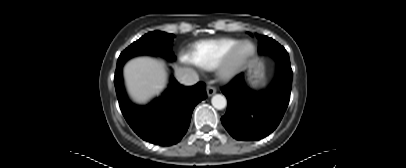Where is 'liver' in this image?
Listing matches in <instances>:
<instances>
[{
    "label": "liver",
    "mask_w": 406,
    "mask_h": 168,
    "mask_svg": "<svg viewBox=\"0 0 406 168\" xmlns=\"http://www.w3.org/2000/svg\"><path fill=\"white\" fill-rule=\"evenodd\" d=\"M181 68L176 67V73ZM126 86L131 98L137 103H146L164 89L167 81L163 61L150 57H138L124 68Z\"/></svg>",
    "instance_id": "1"
}]
</instances>
